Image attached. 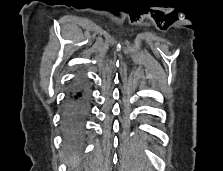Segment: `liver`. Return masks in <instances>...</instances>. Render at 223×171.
Instances as JSON below:
<instances>
[{"mask_svg":"<svg viewBox=\"0 0 223 171\" xmlns=\"http://www.w3.org/2000/svg\"><path fill=\"white\" fill-rule=\"evenodd\" d=\"M76 162H77V158H76V157H73V158H71V159L69 160V163H70L71 165H75Z\"/></svg>","mask_w":223,"mask_h":171,"instance_id":"1","label":"liver"}]
</instances>
